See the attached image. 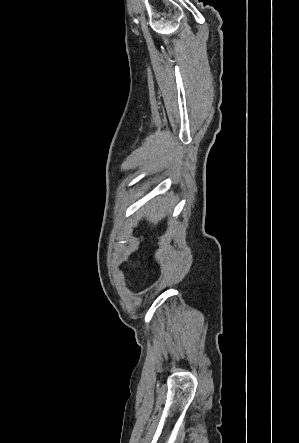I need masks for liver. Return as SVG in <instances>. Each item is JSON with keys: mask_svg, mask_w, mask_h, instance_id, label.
I'll use <instances>...</instances> for the list:
<instances>
[{"mask_svg": "<svg viewBox=\"0 0 299 443\" xmlns=\"http://www.w3.org/2000/svg\"><path fill=\"white\" fill-rule=\"evenodd\" d=\"M170 211L169 205L165 200L152 202L146 213V219L149 223L156 225Z\"/></svg>", "mask_w": 299, "mask_h": 443, "instance_id": "obj_1", "label": "liver"}]
</instances>
